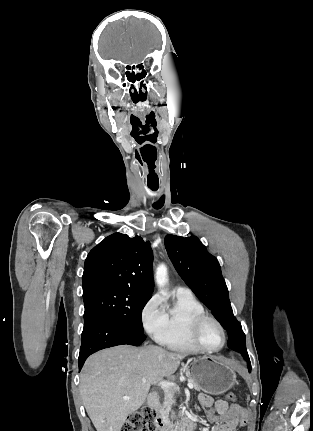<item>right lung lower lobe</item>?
I'll use <instances>...</instances> for the list:
<instances>
[{
	"label": "right lung lower lobe",
	"mask_w": 313,
	"mask_h": 431,
	"mask_svg": "<svg viewBox=\"0 0 313 431\" xmlns=\"http://www.w3.org/2000/svg\"><path fill=\"white\" fill-rule=\"evenodd\" d=\"M146 336L110 318H96L84 324L78 365L81 370L87 357L96 351L116 345L139 346Z\"/></svg>",
	"instance_id": "right-lung-lower-lobe-1"
}]
</instances>
